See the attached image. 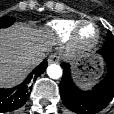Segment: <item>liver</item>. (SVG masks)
I'll return each mask as SVG.
<instances>
[{
	"label": "liver",
	"instance_id": "6515ba94",
	"mask_svg": "<svg viewBox=\"0 0 114 114\" xmlns=\"http://www.w3.org/2000/svg\"><path fill=\"white\" fill-rule=\"evenodd\" d=\"M54 45V35L48 30L24 24L1 29L0 87H11L22 81Z\"/></svg>",
	"mask_w": 114,
	"mask_h": 114
}]
</instances>
